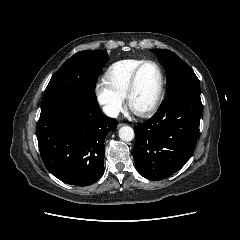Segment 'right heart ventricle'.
I'll use <instances>...</instances> for the list:
<instances>
[{
	"label": "right heart ventricle",
	"mask_w": 240,
	"mask_h": 240,
	"mask_svg": "<svg viewBox=\"0 0 240 240\" xmlns=\"http://www.w3.org/2000/svg\"><path fill=\"white\" fill-rule=\"evenodd\" d=\"M143 61L142 59H124L113 63L105 72V83L112 91L125 98L130 77Z\"/></svg>",
	"instance_id": "obj_1"
}]
</instances>
